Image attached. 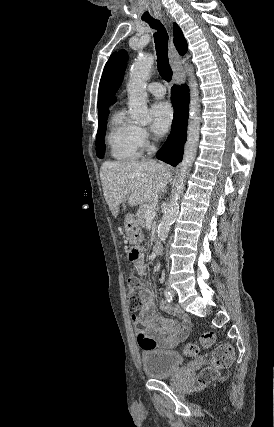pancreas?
<instances>
[{
  "mask_svg": "<svg viewBox=\"0 0 274 427\" xmlns=\"http://www.w3.org/2000/svg\"><path fill=\"white\" fill-rule=\"evenodd\" d=\"M154 202H149V204H143V206H140L137 210L136 215V221L139 223V225H145V212L148 210V206H152Z\"/></svg>",
  "mask_w": 274,
  "mask_h": 427,
  "instance_id": "cf45deb5",
  "label": "pancreas"
}]
</instances>
